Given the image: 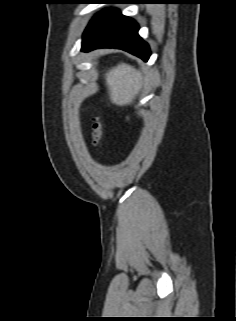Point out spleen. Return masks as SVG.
<instances>
[{"mask_svg": "<svg viewBox=\"0 0 236 321\" xmlns=\"http://www.w3.org/2000/svg\"><path fill=\"white\" fill-rule=\"evenodd\" d=\"M106 84L113 103L129 104L140 90V75L133 67L122 63L106 74Z\"/></svg>", "mask_w": 236, "mask_h": 321, "instance_id": "3e777b00", "label": "spleen"}]
</instances>
